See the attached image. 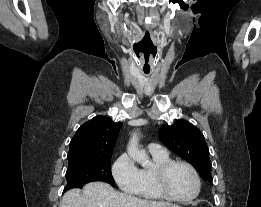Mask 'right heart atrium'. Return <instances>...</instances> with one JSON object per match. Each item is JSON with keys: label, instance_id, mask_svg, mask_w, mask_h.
Masks as SVG:
<instances>
[{"label": "right heart atrium", "instance_id": "right-heart-atrium-1", "mask_svg": "<svg viewBox=\"0 0 261 207\" xmlns=\"http://www.w3.org/2000/svg\"><path fill=\"white\" fill-rule=\"evenodd\" d=\"M112 175L119 188L131 195L138 194L141 186L140 170L129 155L121 154L112 165Z\"/></svg>", "mask_w": 261, "mask_h": 207}]
</instances>
